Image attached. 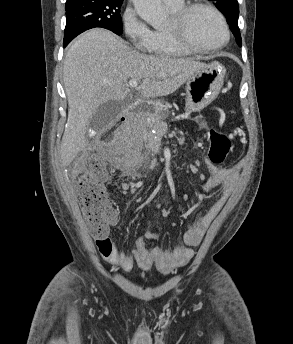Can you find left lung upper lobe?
<instances>
[{
  "label": "left lung upper lobe",
  "mask_w": 293,
  "mask_h": 344,
  "mask_svg": "<svg viewBox=\"0 0 293 344\" xmlns=\"http://www.w3.org/2000/svg\"><path fill=\"white\" fill-rule=\"evenodd\" d=\"M215 2L216 7L227 18L229 27L234 34L239 46L242 45L241 35L238 27L239 7L237 0H211Z\"/></svg>",
  "instance_id": "left-lung-upper-lobe-1"
}]
</instances>
